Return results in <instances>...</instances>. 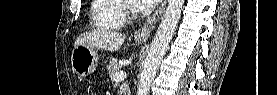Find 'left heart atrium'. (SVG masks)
Instances as JSON below:
<instances>
[{"instance_id":"39dd6f15","label":"left heart atrium","mask_w":277,"mask_h":95,"mask_svg":"<svg viewBox=\"0 0 277 95\" xmlns=\"http://www.w3.org/2000/svg\"><path fill=\"white\" fill-rule=\"evenodd\" d=\"M159 2L160 0H136L138 9L142 11L153 10Z\"/></svg>"}]
</instances>
